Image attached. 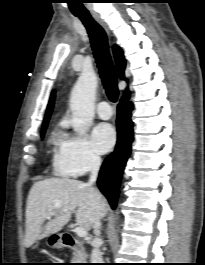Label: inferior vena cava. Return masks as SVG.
<instances>
[{
	"instance_id": "inferior-vena-cava-1",
	"label": "inferior vena cava",
	"mask_w": 205,
	"mask_h": 265,
	"mask_svg": "<svg viewBox=\"0 0 205 265\" xmlns=\"http://www.w3.org/2000/svg\"><path fill=\"white\" fill-rule=\"evenodd\" d=\"M100 165H101L100 157L96 155H91L90 162H89V169H90L91 175H90V179L87 185L91 186L96 181ZM100 226H101V222L98 219L94 222V225H93L95 238L92 241L93 249L91 253V263H102V260H103L102 254L99 249L100 245L102 244V240L99 237Z\"/></svg>"
}]
</instances>
